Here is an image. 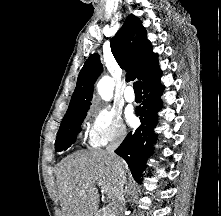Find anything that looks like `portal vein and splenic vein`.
<instances>
[{"label": "portal vein and splenic vein", "instance_id": "1", "mask_svg": "<svg viewBox=\"0 0 221 216\" xmlns=\"http://www.w3.org/2000/svg\"><path fill=\"white\" fill-rule=\"evenodd\" d=\"M101 185H102V184L99 183V186H101ZM103 191L107 194V196H108L109 199H113V198H114V196H113V191H110V190H107V189H104Z\"/></svg>", "mask_w": 221, "mask_h": 216}]
</instances>
